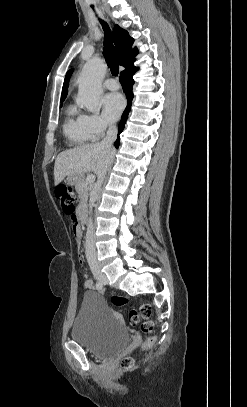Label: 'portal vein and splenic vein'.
<instances>
[{
  "label": "portal vein and splenic vein",
  "mask_w": 247,
  "mask_h": 407,
  "mask_svg": "<svg viewBox=\"0 0 247 407\" xmlns=\"http://www.w3.org/2000/svg\"><path fill=\"white\" fill-rule=\"evenodd\" d=\"M95 181V175H88L86 178V182L93 183Z\"/></svg>",
  "instance_id": "18ae733b"
}]
</instances>
